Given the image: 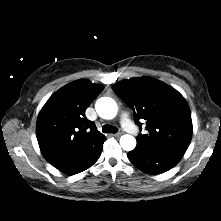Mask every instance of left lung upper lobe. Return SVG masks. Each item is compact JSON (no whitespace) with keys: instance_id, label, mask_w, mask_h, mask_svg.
Returning <instances> with one entry per match:
<instances>
[{"instance_id":"5c2ea615","label":"left lung upper lobe","mask_w":221,"mask_h":221,"mask_svg":"<svg viewBox=\"0 0 221 221\" xmlns=\"http://www.w3.org/2000/svg\"><path fill=\"white\" fill-rule=\"evenodd\" d=\"M112 89L133 110L137 125L141 126V119L146 121L147 132L138 135V146L186 152L192 120L188 104L178 91L151 77L123 80Z\"/></svg>"}]
</instances>
